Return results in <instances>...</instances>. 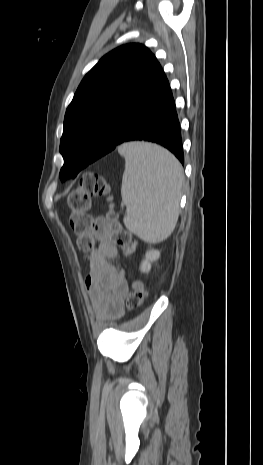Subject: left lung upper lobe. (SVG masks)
<instances>
[{
  "label": "left lung upper lobe",
  "mask_w": 263,
  "mask_h": 465,
  "mask_svg": "<svg viewBox=\"0 0 263 465\" xmlns=\"http://www.w3.org/2000/svg\"><path fill=\"white\" fill-rule=\"evenodd\" d=\"M156 62L141 44L120 46L99 60L83 78L66 110L60 140L64 159L69 155L84 160L93 157L119 108L135 97Z\"/></svg>",
  "instance_id": "obj_1"
}]
</instances>
